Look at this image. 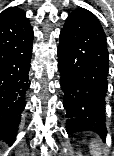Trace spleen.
<instances>
[{
  "mask_svg": "<svg viewBox=\"0 0 114 156\" xmlns=\"http://www.w3.org/2000/svg\"><path fill=\"white\" fill-rule=\"evenodd\" d=\"M90 153L91 156H102L100 144L96 139L92 140L90 143Z\"/></svg>",
  "mask_w": 114,
  "mask_h": 156,
  "instance_id": "spleen-1",
  "label": "spleen"
}]
</instances>
